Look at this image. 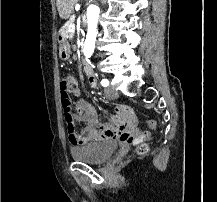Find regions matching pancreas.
Listing matches in <instances>:
<instances>
[{"label":"pancreas","instance_id":"1","mask_svg":"<svg viewBox=\"0 0 217 202\" xmlns=\"http://www.w3.org/2000/svg\"><path fill=\"white\" fill-rule=\"evenodd\" d=\"M68 25H69V22L64 23L63 27L61 28L62 33H65V34L67 33V34H69L70 38H72V34H70V32H68Z\"/></svg>","mask_w":217,"mask_h":202}]
</instances>
